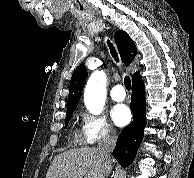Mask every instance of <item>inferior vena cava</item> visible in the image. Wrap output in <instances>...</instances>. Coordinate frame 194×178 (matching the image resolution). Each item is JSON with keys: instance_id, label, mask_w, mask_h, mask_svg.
Returning a JSON list of instances; mask_svg holds the SVG:
<instances>
[{"instance_id": "obj_1", "label": "inferior vena cava", "mask_w": 194, "mask_h": 178, "mask_svg": "<svg viewBox=\"0 0 194 178\" xmlns=\"http://www.w3.org/2000/svg\"><path fill=\"white\" fill-rule=\"evenodd\" d=\"M116 140V133L112 130H108L98 145L97 149L101 155V158L108 164L111 162V152L115 147Z\"/></svg>"}]
</instances>
